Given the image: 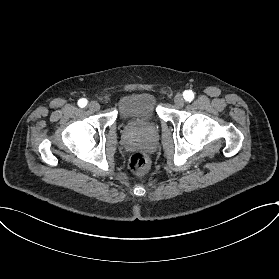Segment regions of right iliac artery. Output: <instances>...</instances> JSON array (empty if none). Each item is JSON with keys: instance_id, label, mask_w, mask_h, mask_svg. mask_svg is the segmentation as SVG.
I'll return each instance as SVG.
<instances>
[{"instance_id": "right-iliac-artery-1", "label": "right iliac artery", "mask_w": 279, "mask_h": 279, "mask_svg": "<svg viewBox=\"0 0 279 279\" xmlns=\"http://www.w3.org/2000/svg\"><path fill=\"white\" fill-rule=\"evenodd\" d=\"M88 101L85 98L78 100V106L84 108L87 105Z\"/></svg>"}]
</instances>
